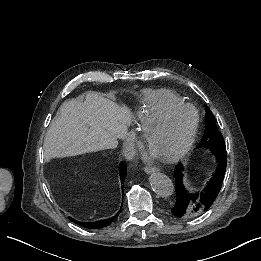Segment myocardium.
Wrapping results in <instances>:
<instances>
[{
    "mask_svg": "<svg viewBox=\"0 0 261 261\" xmlns=\"http://www.w3.org/2000/svg\"><path fill=\"white\" fill-rule=\"evenodd\" d=\"M174 110L189 111L192 114V122H191L189 132L187 134V137H186L184 143L182 144V146L178 150H176L175 152L168 154L166 156H157V155H154L151 153L153 157H155L156 159H158L162 162H166V163L173 162V161L180 159L184 154H186V152L192 146L196 133H197L198 126H199V121H200V116H199V113L196 110V108L193 107L192 105H189L186 103L169 104V105L165 106L163 109H161L159 112H157L155 114L147 115V116L141 118L137 123V131H138L139 137L146 147L144 138H145V133H146L148 127L155 124L156 122L160 121L164 116H166L167 114H169L170 112H172Z\"/></svg>",
    "mask_w": 261,
    "mask_h": 261,
    "instance_id": "1",
    "label": "myocardium"
}]
</instances>
